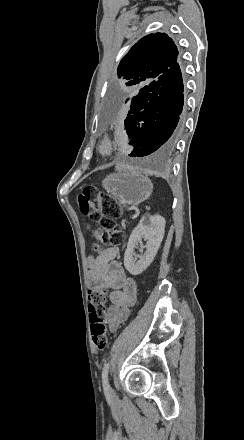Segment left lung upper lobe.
Returning <instances> with one entry per match:
<instances>
[{
	"label": "left lung upper lobe",
	"mask_w": 244,
	"mask_h": 440,
	"mask_svg": "<svg viewBox=\"0 0 244 440\" xmlns=\"http://www.w3.org/2000/svg\"><path fill=\"white\" fill-rule=\"evenodd\" d=\"M179 52L165 33L150 34L140 39L121 60L118 78L126 85H147L157 80L178 62Z\"/></svg>",
	"instance_id": "left-lung-upper-lobe-1"
}]
</instances>
